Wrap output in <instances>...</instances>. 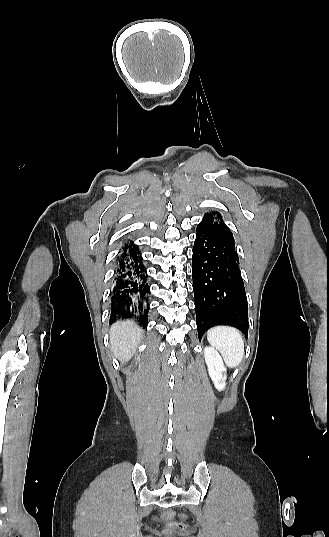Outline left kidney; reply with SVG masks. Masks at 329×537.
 <instances>
[{"label": "left kidney", "mask_w": 329, "mask_h": 537, "mask_svg": "<svg viewBox=\"0 0 329 537\" xmlns=\"http://www.w3.org/2000/svg\"><path fill=\"white\" fill-rule=\"evenodd\" d=\"M204 355L206 364L208 367L209 375L214 382L215 387L218 390H222L225 387L226 367L224 366L222 357L212 347H206L204 349Z\"/></svg>", "instance_id": "left-kidney-1"}]
</instances>
